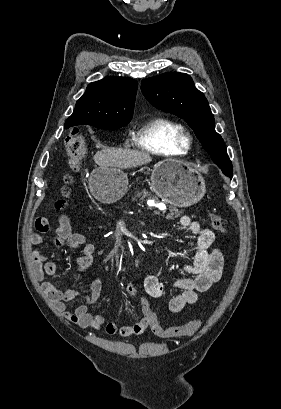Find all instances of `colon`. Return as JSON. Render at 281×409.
Returning <instances> with one entry per match:
<instances>
[{
    "label": "colon",
    "mask_w": 281,
    "mask_h": 409,
    "mask_svg": "<svg viewBox=\"0 0 281 409\" xmlns=\"http://www.w3.org/2000/svg\"><path fill=\"white\" fill-rule=\"evenodd\" d=\"M86 149V142L84 138L80 137L77 134V131H73L71 135H69L66 139V144H65V152H66V160L69 164H73L76 161H78L83 154L85 153ZM211 224L212 226L219 232H224L225 231V226L223 223V219L217 215V214H211L210 216ZM197 323L196 322H187L182 323L180 329L178 328H169V329H163L161 328L157 323H153L151 325L152 330L154 333L157 335H160L162 337H168L172 335H193L195 333V330L197 328Z\"/></svg>",
    "instance_id": "obj_1"
}]
</instances>
